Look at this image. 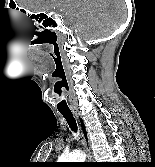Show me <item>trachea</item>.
<instances>
[{
    "mask_svg": "<svg viewBox=\"0 0 155 167\" xmlns=\"http://www.w3.org/2000/svg\"><path fill=\"white\" fill-rule=\"evenodd\" d=\"M60 113L64 116L66 119L67 123L69 124L70 128L76 132L77 131V125L76 121L70 111H60Z\"/></svg>",
    "mask_w": 155,
    "mask_h": 167,
    "instance_id": "obj_1",
    "label": "trachea"
}]
</instances>
